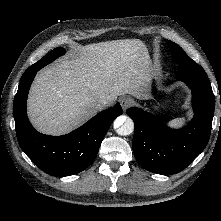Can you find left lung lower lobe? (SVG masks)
<instances>
[{"label":"left lung lower lobe","instance_id":"1","mask_svg":"<svg viewBox=\"0 0 221 221\" xmlns=\"http://www.w3.org/2000/svg\"><path fill=\"white\" fill-rule=\"evenodd\" d=\"M179 80L192 90L194 118L181 129H171L156 116L132 107L126 113L133 119L132 147L137 162L158 174L184 170L206 147L215 108L214 94L204 69L195 61L181 62Z\"/></svg>","mask_w":221,"mask_h":221}]
</instances>
